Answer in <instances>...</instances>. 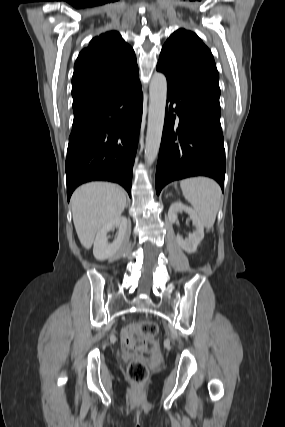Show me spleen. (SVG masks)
<instances>
[{
    "label": "spleen",
    "instance_id": "3e777b00",
    "mask_svg": "<svg viewBox=\"0 0 285 427\" xmlns=\"http://www.w3.org/2000/svg\"><path fill=\"white\" fill-rule=\"evenodd\" d=\"M180 187L202 225L206 228L213 227L221 201L220 186L210 178L193 177L182 180Z\"/></svg>",
    "mask_w": 285,
    "mask_h": 427
}]
</instances>
